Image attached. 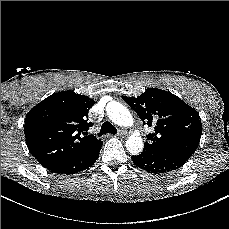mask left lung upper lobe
Instances as JSON below:
<instances>
[{
  "label": "left lung upper lobe",
  "instance_id": "5c2ea615",
  "mask_svg": "<svg viewBox=\"0 0 229 229\" xmlns=\"http://www.w3.org/2000/svg\"><path fill=\"white\" fill-rule=\"evenodd\" d=\"M143 124L154 126L147 135L144 153L190 157L199 144L202 129L199 113L176 95L149 88L139 97L122 96Z\"/></svg>",
  "mask_w": 229,
  "mask_h": 229
}]
</instances>
